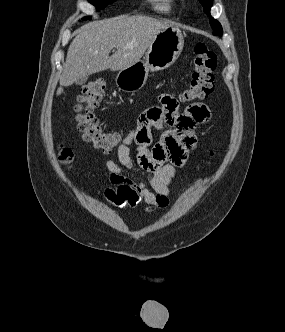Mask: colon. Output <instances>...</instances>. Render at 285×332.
<instances>
[{"label": "colon", "instance_id": "colon-1", "mask_svg": "<svg viewBox=\"0 0 285 332\" xmlns=\"http://www.w3.org/2000/svg\"><path fill=\"white\" fill-rule=\"evenodd\" d=\"M216 65V53L205 43H197L194 46L190 85L178 95L181 102L202 100L212 93ZM105 87L106 83L102 79L93 80L82 87L76 105V120L84 141L91 143L97 150L109 153L117 148L121 135L117 132L104 131L94 114L95 108L102 100ZM73 159L74 155L70 148L59 149L61 163L70 166Z\"/></svg>", "mask_w": 285, "mask_h": 332}]
</instances>
